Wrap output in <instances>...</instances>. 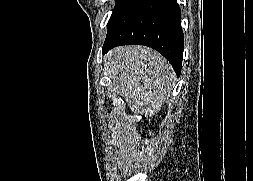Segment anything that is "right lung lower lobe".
I'll list each match as a JSON object with an SVG mask.
<instances>
[{
	"label": "right lung lower lobe",
	"mask_w": 253,
	"mask_h": 181,
	"mask_svg": "<svg viewBox=\"0 0 253 181\" xmlns=\"http://www.w3.org/2000/svg\"><path fill=\"white\" fill-rule=\"evenodd\" d=\"M141 44L154 48L179 76L184 37L181 10L176 0H135L108 28L103 54L119 45Z\"/></svg>",
	"instance_id": "1"
}]
</instances>
